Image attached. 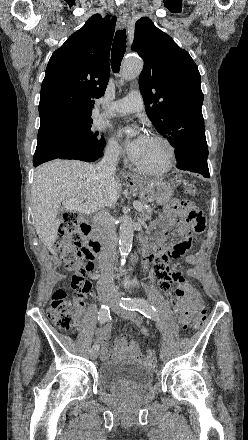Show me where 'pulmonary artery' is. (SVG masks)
<instances>
[{
    "label": "pulmonary artery",
    "instance_id": "pulmonary-artery-1",
    "mask_svg": "<svg viewBox=\"0 0 248 440\" xmlns=\"http://www.w3.org/2000/svg\"><path fill=\"white\" fill-rule=\"evenodd\" d=\"M143 108V99L139 91H131L124 98L108 104L102 113L103 117H113L139 112Z\"/></svg>",
    "mask_w": 248,
    "mask_h": 440
}]
</instances>
